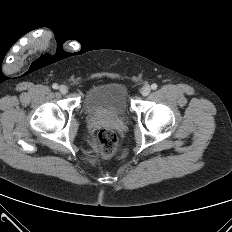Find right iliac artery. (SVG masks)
<instances>
[{
	"label": "right iliac artery",
	"instance_id": "82829eb1",
	"mask_svg": "<svg viewBox=\"0 0 232 232\" xmlns=\"http://www.w3.org/2000/svg\"><path fill=\"white\" fill-rule=\"evenodd\" d=\"M52 88H53V89H58V84H56V83L53 84V85H52Z\"/></svg>",
	"mask_w": 232,
	"mask_h": 232
}]
</instances>
